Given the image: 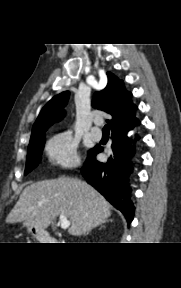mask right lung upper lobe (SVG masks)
<instances>
[{"label":"right lung upper lobe","instance_id":"obj_1","mask_svg":"<svg viewBox=\"0 0 181 288\" xmlns=\"http://www.w3.org/2000/svg\"><path fill=\"white\" fill-rule=\"evenodd\" d=\"M108 84L105 89L96 92L94 95V107L103 110L113 116L108 123L112 131L132 126L138 120L135 117L137 106L131 101L132 93L127 91L122 80L118 79L111 72H107ZM69 92L64 91L53 97L41 110L36 119L31 140L36 139L44 133L54 122L64 116V107L67 104Z\"/></svg>","mask_w":181,"mask_h":288}]
</instances>
